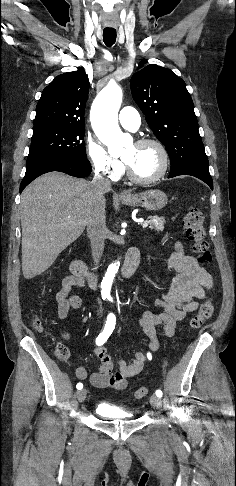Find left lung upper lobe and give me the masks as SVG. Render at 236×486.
<instances>
[{
    "label": "left lung upper lobe",
    "instance_id": "5c2ea615",
    "mask_svg": "<svg viewBox=\"0 0 236 486\" xmlns=\"http://www.w3.org/2000/svg\"><path fill=\"white\" fill-rule=\"evenodd\" d=\"M131 78V92L155 136L171 159L170 173L198 170L209 173L193 101L183 79L155 64L144 66Z\"/></svg>",
    "mask_w": 236,
    "mask_h": 486
}]
</instances>
